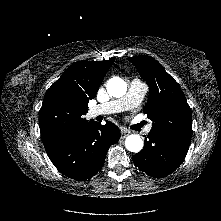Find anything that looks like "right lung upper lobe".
<instances>
[{"label": "right lung upper lobe", "mask_w": 221, "mask_h": 221, "mask_svg": "<svg viewBox=\"0 0 221 221\" xmlns=\"http://www.w3.org/2000/svg\"><path fill=\"white\" fill-rule=\"evenodd\" d=\"M113 62V58L75 62L48 89L39 112L40 133L46 150L88 122L84 118L88 102L96 96Z\"/></svg>", "instance_id": "1"}]
</instances>
